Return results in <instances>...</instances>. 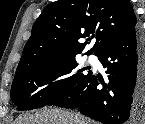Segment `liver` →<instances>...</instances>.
I'll use <instances>...</instances> for the list:
<instances>
[{"label": "liver", "mask_w": 145, "mask_h": 124, "mask_svg": "<svg viewBox=\"0 0 145 124\" xmlns=\"http://www.w3.org/2000/svg\"><path fill=\"white\" fill-rule=\"evenodd\" d=\"M14 124H92L81 115L62 109H45L19 117Z\"/></svg>", "instance_id": "obj_1"}]
</instances>
